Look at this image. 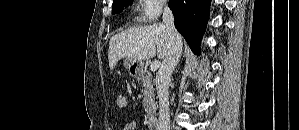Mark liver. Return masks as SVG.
Returning <instances> with one entry per match:
<instances>
[{"instance_id": "6515ba94", "label": "liver", "mask_w": 299, "mask_h": 130, "mask_svg": "<svg viewBox=\"0 0 299 130\" xmlns=\"http://www.w3.org/2000/svg\"><path fill=\"white\" fill-rule=\"evenodd\" d=\"M169 51V37L161 23L129 28L114 35L109 42V68L113 70L121 58L147 60L156 53L165 59Z\"/></svg>"}]
</instances>
